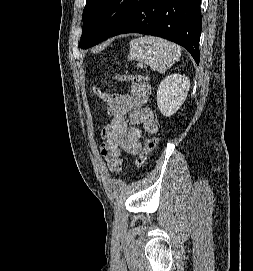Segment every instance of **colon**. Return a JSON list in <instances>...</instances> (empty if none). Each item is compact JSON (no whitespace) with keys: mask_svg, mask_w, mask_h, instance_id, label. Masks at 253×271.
<instances>
[{"mask_svg":"<svg viewBox=\"0 0 253 271\" xmlns=\"http://www.w3.org/2000/svg\"><path fill=\"white\" fill-rule=\"evenodd\" d=\"M134 80H136V81H145L140 76H135ZM158 142H159V137L157 135H153V136L149 137L146 140L144 150H143V152L141 153L140 157L137 160V166H142L143 164H145L147 162V160L153 154Z\"/></svg>","mask_w":253,"mask_h":271,"instance_id":"1","label":"colon"}]
</instances>
